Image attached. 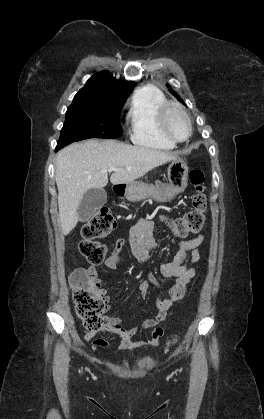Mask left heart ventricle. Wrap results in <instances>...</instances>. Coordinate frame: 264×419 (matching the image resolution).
I'll return each mask as SVG.
<instances>
[{"mask_svg":"<svg viewBox=\"0 0 264 419\" xmlns=\"http://www.w3.org/2000/svg\"><path fill=\"white\" fill-rule=\"evenodd\" d=\"M168 129L177 139H184L188 134V125L184 117L177 111H171L167 118Z\"/></svg>","mask_w":264,"mask_h":419,"instance_id":"b2bd125f","label":"left heart ventricle"}]
</instances>
